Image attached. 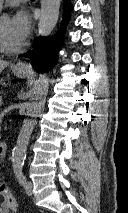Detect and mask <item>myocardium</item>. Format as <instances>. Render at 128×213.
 Here are the masks:
<instances>
[{
  "label": "myocardium",
  "instance_id": "1",
  "mask_svg": "<svg viewBox=\"0 0 128 213\" xmlns=\"http://www.w3.org/2000/svg\"><path fill=\"white\" fill-rule=\"evenodd\" d=\"M21 49H22L21 46H18V47L9 46L3 39V36L0 32V51L5 52V53H17V52L21 51Z\"/></svg>",
  "mask_w": 128,
  "mask_h": 213
}]
</instances>
